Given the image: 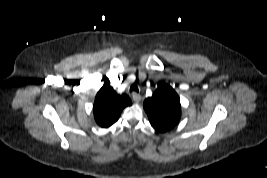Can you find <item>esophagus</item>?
I'll return each instance as SVG.
<instances>
[{"mask_svg":"<svg viewBox=\"0 0 267 178\" xmlns=\"http://www.w3.org/2000/svg\"><path fill=\"white\" fill-rule=\"evenodd\" d=\"M132 98L136 103H139L141 101V96L137 93H133Z\"/></svg>","mask_w":267,"mask_h":178,"instance_id":"esophagus-1","label":"esophagus"}]
</instances>
